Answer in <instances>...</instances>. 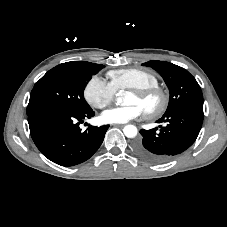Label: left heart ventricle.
Returning <instances> with one entry per match:
<instances>
[{"label": "left heart ventricle", "mask_w": 227, "mask_h": 227, "mask_svg": "<svg viewBox=\"0 0 227 227\" xmlns=\"http://www.w3.org/2000/svg\"><path fill=\"white\" fill-rule=\"evenodd\" d=\"M124 103L127 104V105H131V104L137 105L144 112V111L153 109L157 104V99L156 98H149V99H146V100H142V99L137 98L132 93H129L126 96Z\"/></svg>", "instance_id": "left-heart-ventricle-1"}]
</instances>
